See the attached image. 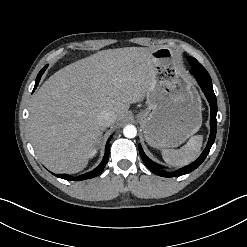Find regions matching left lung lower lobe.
Returning <instances> with one entry per match:
<instances>
[{
	"label": "left lung lower lobe",
	"instance_id": "1",
	"mask_svg": "<svg viewBox=\"0 0 247 247\" xmlns=\"http://www.w3.org/2000/svg\"><path fill=\"white\" fill-rule=\"evenodd\" d=\"M191 70L190 72L195 76V79L197 80L199 86L201 87L202 91L204 92L209 104H210V108H211V117H210V127H211V133L209 136V140L207 143V146L205 148V150L203 151V153L200 155V157L194 161L193 163H191L188 166H185L177 171H173V172H166L164 170H162L161 166L156 164L155 162H153L152 160H150L145 153L142 150L141 145H139V153L140 156L143 160V162L145 163V165L149 168V170L159 176L162 177H178L184 174H188L190 172H192L193 170H195L207 157L211 146L214 143L215 140V136H216V130H217V120H216V114H217V101H216V96L214 94L213 91V87H212V82H211V78L210 77H205L202 76L198 70L195 68L194 65H191Z\"/></svg>",
	"mask_w": 247,
	"mask_h": 247
}]
</instances>
